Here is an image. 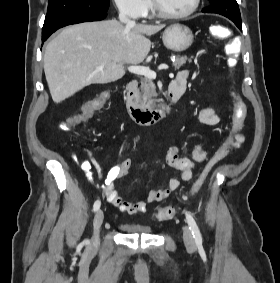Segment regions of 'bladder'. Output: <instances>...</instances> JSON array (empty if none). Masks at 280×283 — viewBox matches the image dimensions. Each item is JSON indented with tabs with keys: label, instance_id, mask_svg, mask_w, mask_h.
Wrapping results in <instances>:
<instances>
[{
	"label": "bladder",
	"instance_id": "1",
	"mask_svg": "<svg viewBox=\"0 0 280 283\" xmlns=\"http://www.w3.org/2000/svg\"><path fill=\"white\" fill-rule=\"evenodd\" d=\"M119 228L127 234L148 235L152 232L151 226L133 223H120Z\"/></svg>",
	"mask_w": 280,
	"mask_h": 283
}]
</instances>
